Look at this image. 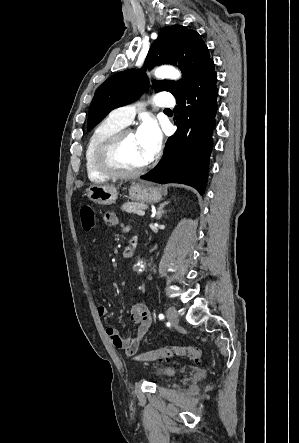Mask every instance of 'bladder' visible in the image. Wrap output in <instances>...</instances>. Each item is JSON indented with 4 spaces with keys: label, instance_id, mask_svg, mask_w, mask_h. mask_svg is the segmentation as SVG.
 Wrapping results in <instances>:
<instances>
[{
    "label": "bladder",
    "instance_id": "bladder-1",
    "mask_svg": "<svg viewBox=\"0 0 299 443\" xmlns=\"http://www.w3.org/2000/svg\"><path fill=\"white\" fill-rule=\"evenodd\" d=\"M156 380H167L176 373V368L169 364H156L151 368Z\"/></svg>",
    "mask_w": 299,
    "mask_h": 443
}]
</instances>
